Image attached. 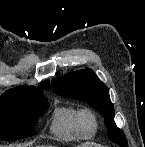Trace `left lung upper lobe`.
<instances>
[{
    "label": "left lung upper lobe",
    "mask_w": 145,
    "mask_h": 147,
    "mask_svg": "<svg viewBox=\"0 0 145 147\" xmlns=\"http://www.w3.org/2000/svg\"><path fill=\"white\" fill-rule=\"evenodd\" d=\"M51 84L56 94L85 101L98 110L104 117L105 126L108 128V138L121 147H127L124 132L116 126L113 120L115 114L109 90L92 70L68 73L59 79H53Z\"/></svg>",
    "instance_id": "obj_1"
}]
</instances>
